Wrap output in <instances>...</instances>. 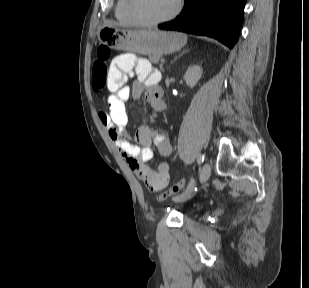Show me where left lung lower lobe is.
<instances>
[{
    "label": "left lung lower lobe",
    "mask_w": 309,
    "mask_h": 288,
    "mask_svg": "<svg viewBox=\"0 0 309 288\" xmlns=\"http://www.w3.org/2000/svg\"><path fill=\"white\" fill-rule=\"evenodd\" d=\"M246 0H185L181 15L159 24L162 30H177L213 37L229 48L238 40Z\"/></svg>",
    "instance_id": "0a47b994"
}]
</instances>
